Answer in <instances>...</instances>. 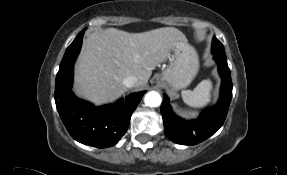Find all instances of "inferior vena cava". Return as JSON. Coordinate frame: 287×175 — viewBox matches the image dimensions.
Instances as JSON below:
<instances>
[{"label": "inferior vena cava", "mask_w": 287, "mask_h": 175, "mask_svg": "<svg viewBox=\"0 0 287 175\" xmlns=\"http://www.w3.org/2000/svg\"><path fill=\"white\" fill-rule=\"evenodd\" d=\"M137 83H138V79H137V77L134 76V75H129V76L125 77L124 80H123V84H124L126 87H133V86H135Z\"/></svg>", "instance_id": "obj_1"}]
</instances>
